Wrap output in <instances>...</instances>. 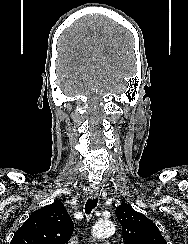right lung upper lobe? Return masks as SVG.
<instances>
[{
	"label": "right lung upper lobe",
	"mask_w": 188,
	"mask_h": 244,
	"mask_svg": "<svg viewBox=\"0 0 188 244\" xmlns=\"http://www.w3.org/2000/svg\"><path fill=\"white\" fill-rule=\"evenodd\" d=\"M73 222L61 201L33 212L15 232L10 244H67Z\"/></svg>",
	"instance_id": "1"
}]
</instances>
